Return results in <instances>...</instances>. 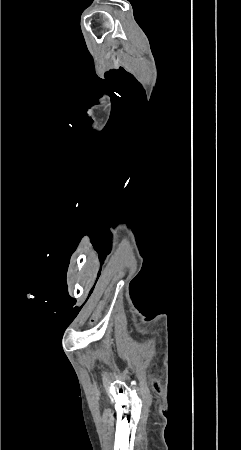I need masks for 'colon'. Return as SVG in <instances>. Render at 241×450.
<instances>
[{"mask_svg": "<svg viewBox=\"0 0 241 450\" xmlns=\"http://www.w3.org/2000/svg\"><path fill=\"white\" fill-rule=\"evenodd\" d=\"M111 290V289H110ZM109 294V293H108ZM111 305V298L110 297H101L100 298V305H99V308L100 309H98L97 311H96V314L98 315V316H101L102 314H103V311L102 310H104L105 308H106V306H110ZM96 318H97V316H93L92 318H91V321H90V323L91 324H94L95 323V321H96Z\"/></svg>", "mask_w": 241, "mask_h": 450, "instance_id": "colon-1", "label": "colon"}]
</instances>
